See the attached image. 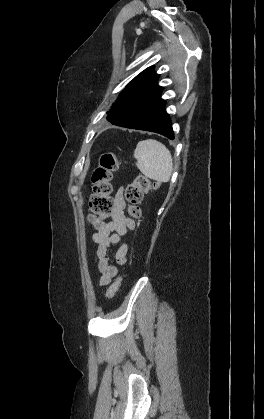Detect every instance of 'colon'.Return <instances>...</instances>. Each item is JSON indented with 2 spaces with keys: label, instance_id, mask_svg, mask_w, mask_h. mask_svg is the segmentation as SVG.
<instances>
[{
  "label": "colon",
  "instance_id": "1",
  "mask_svg": "<svg viewBox=\"0 0 264 419\" xmlns=\"http://www.w3.org/2000/svg\"><path fill=\"white\" fill-rule=\"evenodd\" d=\"M120 164L119 158L111 152H105L100 156L99 163L92 175L93 193L90 198V222L100 228L101 220L110 216L114 210L115 201L112 197L113 175ZM155 185L145 176H137L125 190V198L128 202V213L133 218H139L141 214L140 203L144 193ZM121 277H118L110 285L107 297L113 298L120 287Z\"/></svg>",
  "mask_w": 264,
  "mask_h": 419
}]
</instances>
